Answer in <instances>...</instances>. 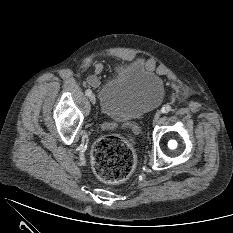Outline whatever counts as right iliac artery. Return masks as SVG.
<instances>
[{
    "mask_svg": "<svg viewBox=\"0 0 233 233\" xmlns=\"http://www.w3.org/2000/svg\"><path fill=\"white\" fill-rule=\"evenodd\" d=\"M85 94H86L87 96H90V95L92 94V91H91L90 89H87V90L85 91Z\"/></svg>",
    "mask_w": 233,
    "mask_h": 233,
    "instance_id": "right-iliac-artery-1",
    "label": "right iliac artery"
}]
</instances>
